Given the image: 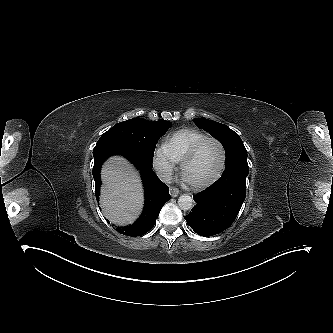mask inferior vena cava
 <instances>
[{"label":"inferior vena cava","mask_w":333,"mask_h":333,"mask_svg":"<svg viewBox=\"0 0 333 333\" xmlns=\"http://www.w3.org/2000/svg\"><path fill=\"white\" fill-rule=\"evenodd\" d=\"M157 176L166 184H170L172 181V170L167 168H160L157 170Z\"/></svg>","instance_id":"inferior-vena-cava-1"}]
</instances>
